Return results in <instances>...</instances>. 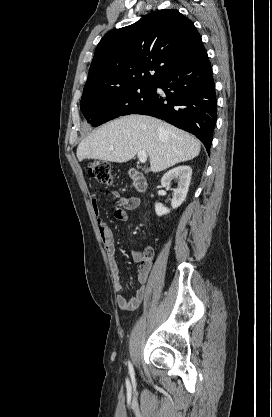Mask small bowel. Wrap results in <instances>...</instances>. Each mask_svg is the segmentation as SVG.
<instances>
[{"instance_id": "obj_1", "label": "small bowel", "mask_w": 272, "mask_h": 417, "mask_svg": "<svg viewBox=\"0 0 272 417\" xmlns=\"http://www.w3.org/2000/svg\"><path fill=\"white\" fill-rule=\"evenodd\" d=\"M106 194H108L115 202L114 216L118 220H125L128 216V212L136 209L140 204L138 198L123 197L114 190L106 192ZM91 206L97 217L101 239L109 259L113 289L116 293H119L116 296V303L122 310H134L141 304L144 298L146 282L153 264L154 251L151 247L133 251V258L135 262L139 264L136 281L137 289L135 294L130 297L120 294L123 291L124 286L120 279V268L115 258L116 246L114 243L113 232L101 218L98 194H94L91 197Z\"/></svg>"}]
</instances>
